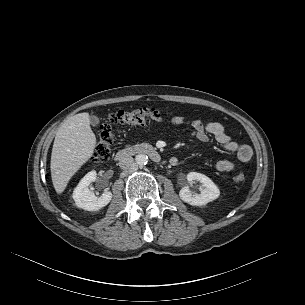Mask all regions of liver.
I'll use <instances>...</instances> for the list:
<instances>
[{"label": "liver", "mask_w": 305, "mask_h": 305, "mask_svg": "<svg viewBox=\"0 0 305 305\" xmlns=\"http://www.w3.org/2000/svg\"><path fill=\"white\" fill-rule=\"evenodd\" d=\"M96 137L87 112L67 119L58 129L51 154V178L57 194H61L71 177L93 155Z\"/></svg>", "instance_id": "6515ba94"}]
</instances>
